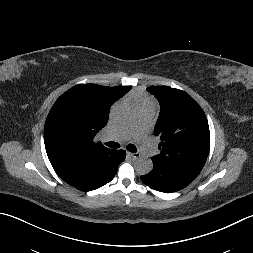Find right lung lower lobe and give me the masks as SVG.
Returning <instances> with one entry per match:
<instances>
[{"label": "right lung lower lobe", "instance_id": "98d812e1", "mask_svg": "<svg viewBox=\"0 0 253 253\" xmlns=\"http://www.w3.org/2000/svg\"><path fill=\"white\" fill-rule=\"evenodd\" d=\"M124 150H112L98 159L90 169L78 168L72 172L57 173L69 185L82 191H91L110 182L121 162L124 161Z\"/></svg>", "mask_w": 253, "mask_h": 253}]
</instances>
